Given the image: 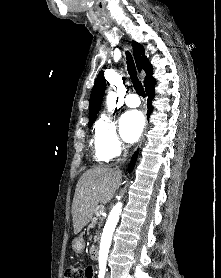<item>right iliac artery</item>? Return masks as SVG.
Returning <instances> with one entry per match:
<instances>
[{
	"mask_svg": "<svg viewBox=\"0 0 221 278\" xmlns=\"http://www.w3.org/2000/svg\"><path fill=\"white\" fill-rule=\"evenodd\" d=\"M99 268H100V270H99L98 277L99 278H104V275H105V265L100 264Z\"/></svg>",
	"mask_w": 221,
	"mask_h": 278,
	"instance_id": "obj_1",
	"label": "right iliac artery"
}]
</instances>
